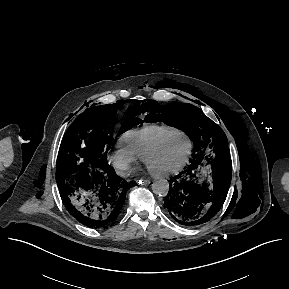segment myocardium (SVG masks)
Here are the masks:
<instances>
[{
	"label": "myocardium",
	"mask_w": 289,
	"mask_h": 289,
	"mask_svg": "<svg viewBox=\"0 0 289 289\" xmlns=\"http://www.w3.org/2000/svg\"><path fill=\"white\" fill-rule=\"evenodd\" d=\"M175 136H183L184 138H186L187 142H188V151L186 154L185 159L183 160V162L177 166L174 169L171 170H167V171H163V172H155L150 170L147 167V160L150 156H152L153 154H155L163 145L164 143H166L169 139L175 137ZM192 150H193V144L192 141L190 139V137L184 133L183 131L180 130H176L170 134H168L167 136H165L164 138H162L161 140H159L157 143H155L152 147H150L141 157L142 158V162L146 165V167L148 168L150 174L154 177L160 178V177H169L172 175H176L178 173H180L181 171H183L185 169V167L187 166V164L190 161L191 155H192Z\"/></svg>",
	"instance_id": "obj_1"
}]
</instances>
